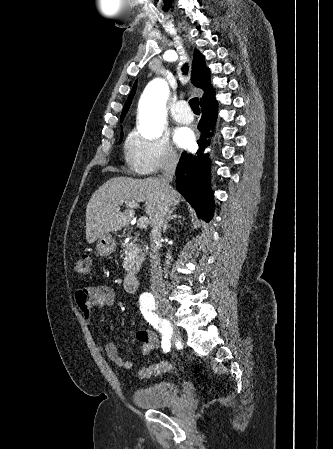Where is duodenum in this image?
I'll list each match as a JSON object with an SVG mask.
<instances>
[{
  "label": "duodenum",
  "mask_w": 333,
  "mask_h": 449,
  "mask_svg": "<svg viewBox=\"0 0 333 449\" xmlns=\"http://www.w3.org/2000/svg\"><path fill=\"white\" fill-rule=\"evenodd\" d=\"M139 287V273L137 269L130 270L124 277L123 288L126 292L134 293Z\"/></svg>",
  "instance_id": "duodenum-1"
}]
</instances>
